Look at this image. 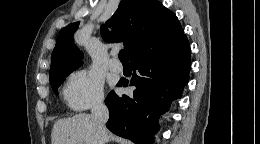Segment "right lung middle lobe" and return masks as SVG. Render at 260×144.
<instances>
[{
	"label": "right lung middle lobe",
	"mask_w": 260,
	"mask_h": 144,
	"mask_svg": "<svg viewBox=\"0 0 260 144\" xmlns=\"http://www.w3.org/2000/svg\"><path fill=\"white\" fill-rule=\"evenodd\" d=\"M73 70L74 69H67L49 75L51 87L55 92L57 91L61 83L64 81L65 77L68 76Z\"/></svg>",
	"instance_id": "dd1d6c3e"
}]
</instances>
